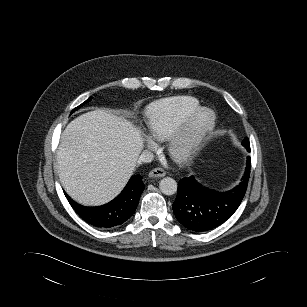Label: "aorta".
<instances>
[{
  "mask_svg": "<svg viewBox=\"0 0 307 307\" xmlns=\"http://www.w3.org/2000/svg\"><path fill=\"white\" fill-rule=\"evenodd\" d=\"M159 189L165 195H173L177 192V182L173 178L165 177L160 181Z\"/></svg>",
  "mask_w": 307,
  "mask_h": 307,
  "instance_id": "1",
  "label": "aorta"
}]
</instances>
